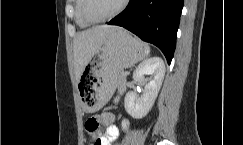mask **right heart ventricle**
Masks as SVG:
<instances>
[{
	"mask_svg": "<svg viewBox=\"0 0 243 145\" xmlns=\"http://www.w3.org/2000/svg\"><path fill=\"white\" fill-rule=\"evenodd\" d=\"M82 2L83 0H75V20L79 27L87 28L90 26V24L83 19L82 12H81Z\"/></svg>",
	"mask_w": 243,
	"mask_h": 145,
	"instance_id": "right-heart-ventricle-1",
	"label": "right heart ventricle"
}]
</instances>
